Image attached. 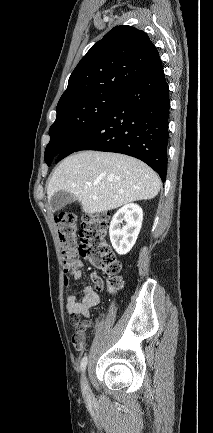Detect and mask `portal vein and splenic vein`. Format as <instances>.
Masks as SVG:
<instances>
[{
    "instance_id": "obj_1",
    "label": "portal vein and splenic vein",
    "mask_w": 213,
    "mask_h": 433,
    "mask_svg": "<svg viewBox=\"0 0 213 433\" xmlns=\"http://www.w3.org/2000/svg\"><path fill=\"white\" fill-rule=\"evenodd\" d=\"M87 185H88V186H92L93 184H91V183H87ZM94 185H96V184H94Z\"/></svg>"
}]
</instances>
